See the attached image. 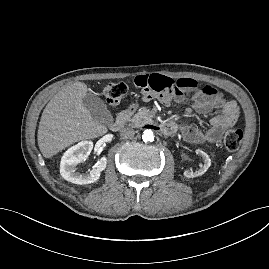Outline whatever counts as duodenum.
<instances>
[{
  "mask_svg": "<svg viewBox=\"0 0 269 269\" xmlns=\"http://www.w3.org/2000/svg\"><path fill=\"white\" fill-rule=\"evenodd\" d=\"M134 110L133 106H129L121 111H119L116 115L115 121L111 125V130L116 132L122 129L126 123V120L130 113ZM159 129L163 133H171L173 131V126L170 123L163 124L162 126L159 127Z\"/></svg>",
  "mask_w": 269,
  "mask_h": 269,
  "instance_id": "410a0bca",
  "label": "duodenum"
}]
</instances>
